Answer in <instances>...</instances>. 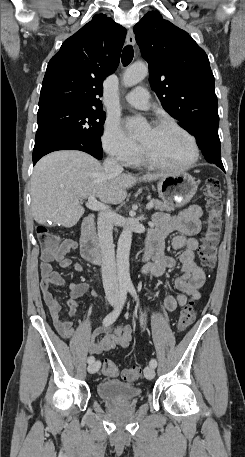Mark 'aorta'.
<instances>
[{
  "instance_id": "aorta-1",
  "label": "aorta",
  "mask_w": 245,
  "mask_h": 457,
  "mask_svg": "<svg viewBox=\"0 0 245 457\" xmlns=\"http://www.w3.org/2000/svg\"><path fill=\"white\" fill-rule=\"evenodd\" d=\"M148 74V68L145 64H133L123 76L125 86L131 87L141 82ZM132 126L139 130L146 125V122L139 118L130 121ZM132 242V232L129 227L125 228L118 239L117 244V275L121 286L131 285L129 255Z\"/></svg>"
}]
</instances>
